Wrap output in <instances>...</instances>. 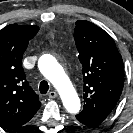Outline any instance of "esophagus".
Here are the masks:
<instances>
[{"instance_id":"1","label":"esophagus","mask_w":133,"mask_h":133,"mask_svg":"<svg viewBox=\"0 0 133 133\" xmlns=\"http://www.w3.org/2000/svg\"><path fill=\"white\" fill-rule=\"evenodd\" d=\"M48 97L51 98V99L56 98L57 93L55 91H51V92H49Z\"/></svg>"}]
</instances>
